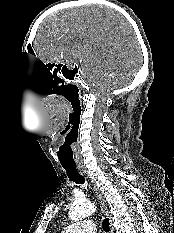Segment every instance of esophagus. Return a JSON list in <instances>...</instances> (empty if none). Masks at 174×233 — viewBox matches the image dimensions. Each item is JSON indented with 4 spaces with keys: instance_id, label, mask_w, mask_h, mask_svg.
Segmentation results:
<instances>
[{
    "instance_id": "esophagus-1",
    "label": "esophagus",
    "mask_w": 174,
    "mask_h": 233,
    "mask_svg": "<svg viewBox=\"0 0 174 233\" xmlns=\"http://www.w3.org/2000/svg\"><path fill=\"white\" fill-rule=\"evenodd\" d=\"M78 171L89 182L91 189L93 190L95 196L97 197V199L100 202V207H101L102 213L109 218L110 233H114L112 216L110 215L107 202H106L105 198L103 197L101 191L99 190V188L95 184L94 180L91 178V176L88 174V172L85 168H78Z\"/></svg>"
}]
</instances>
